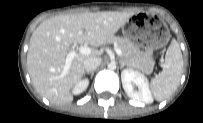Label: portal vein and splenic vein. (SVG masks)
<instances>
[{"mask_svg":"<svg viewBox=\"0 0 203 123\" xmlns=\"http://www.w3.org/2000/svg\"><path fill=\"white\" fill-rule=\"evenodd\" d=\"M114 50H115V52H116V54L118 56L122 55V51L118 47H115ZM79 52L81 54L88 55V54L91 53V49L88 46L84 45V46H81L79 48ZM75 56H76V50L74 48H72L70 50V52L68 53L67 57H66V63H65V66H64V72H67L69 70V68L71 66V62H72V60L74 59Z\"/></svg>","mask_w":203,"mask_h":123,"instance_id":"18ae733b","label":"portal vein and splenic vein"}]
</instances>
